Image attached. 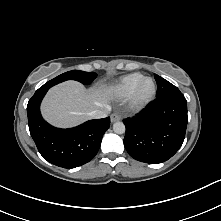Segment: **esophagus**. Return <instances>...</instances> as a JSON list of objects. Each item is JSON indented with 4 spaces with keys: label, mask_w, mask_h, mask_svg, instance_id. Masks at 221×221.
<instances>
[{
    "label": "esophagus",
    "mask_w": 221,
    "mask_h": 221,
    "mask_svg": "<svg viewBox=\"0 0 221 221\" xmlns=\"http://www.w3.org/2000/svg\"><path fill=\"white\" fill-rule=\"evenodd\" d=\"M121 119V116L118 113H113L111 115V122L114 123L116 121H119Z\"/></svg>",
    "instance_id": "obj_1"
}]
</instances>
